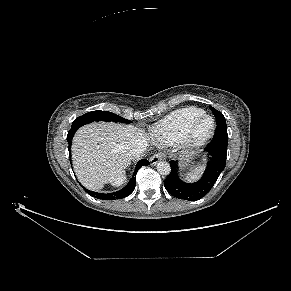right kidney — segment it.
Returning a JSON list of instances; mask_svg holds the SVG:
<instances>
[{"instance_id":"right-kidney-1","label":"right kidney","mask_w":291,"mask_h":291,"mask_svg":"<svg viewBox=\"0 0 291 291\" xmlns=\"http://www.w3.org/2000/svg\"><path fill=\"white\" fill-rule=\"evenodd\" d=\"M122 181H123V180H121V181H115V184H116V185H119Z\"/></svg>"}]
</instances>
